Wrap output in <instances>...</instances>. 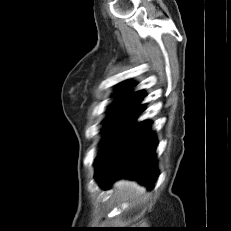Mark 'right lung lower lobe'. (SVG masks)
Returning <instances> with one entry per match:
<instances>
[{
    "label": "right lung lower lobe",
    "instance_id": "98d812e1",
    "mask_svg": "<svg viewBox=\"0 0 231 231\" xmlns=\"http://www.w3.org/2000/svg\"><path fill=\"white\" fill-rule=\"evenodd\" d=\"M157 141L149 121L133 122L98 153L95 178L104 189L121 177L152 188L158 177Z\"/></svg>",
    "mask_w": 231,
    "mask_h": 231
}]
</instances>
